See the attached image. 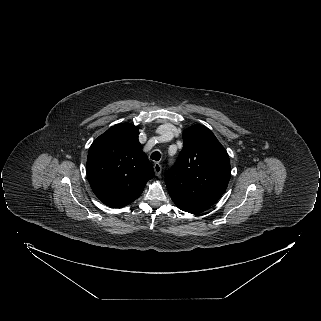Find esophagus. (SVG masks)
<instances>
[{
    "instance_id": "esophagus-1",
    "label": "esophagus",
    "mask_w": 321,
    "mask_h": 321,
    "mask_svg": "<svg viewBox=\"0 0 321 321\" xmlns=\"http://www.w3.org/2000/svg\"><path fill=\"white\" fill-rule=\"evenodd\" d=\"M154 172L156 176H160L162 172V166L159 163L154 164Z\"/></svg>"
}]
</instances>
